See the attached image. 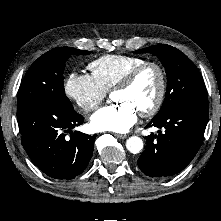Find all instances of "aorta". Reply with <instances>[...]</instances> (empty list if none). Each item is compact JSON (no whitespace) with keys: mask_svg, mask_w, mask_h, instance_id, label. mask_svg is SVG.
<instances>
[{"mask_svg":"<svg viewBox=\"0 0 221 221\" xmlns=\"http://www.w3.org/2000/svg\"><path fill=\"white\" fill-rule=\"evenodd\" d=\"M126 147L131 153L137 154L143 148V141L141 138H139L137 136H132L127 139Z\"/></svg>","mask_w":221,"mask_h":221,"instance_id":"1","label":"aorta"}]
</instances>
